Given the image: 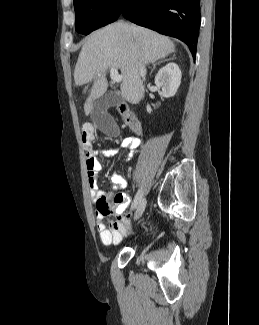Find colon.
<instances>
[{"label":"colon","instance_id":"colon-1","mask_svg":"<svg viewBox=\"0 0 259 325\" xmlns=\"http://www.w3.org/2000/svg\"><path fill=\"white\" fill-rule=\"evenodd\" d=\"M94 139V128L91 124H85L81 129V142L86 150L92 148V143Z\"/></svg>","mask_w":259,"mask_h":325}]
</instances>
